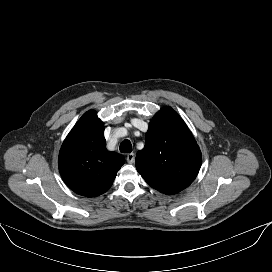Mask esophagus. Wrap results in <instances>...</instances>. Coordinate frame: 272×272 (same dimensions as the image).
<instances>
[{"label":"esophagus","mask_w":272,"mask_h":272,"mask_svg":"<svg viewBox=\"0 0 272 272\" xmlns=\"http://www.w3.org/2000/svg\"><path fill=\"white\" fill-rule=\"evenodd\" d=\"M126 160L128 163L132 164L135 161V155L134 153H130L126 156Z\"/></svg>","instance_id":"34e87169"}]
</instances>
